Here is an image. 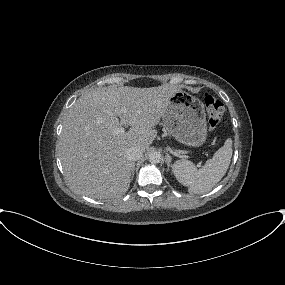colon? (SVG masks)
<instances>
[{
  "label": "colon",
  "mask_w": 285,
  "mask_h": 285,
  "mask_svg": "<svg viewBox=\"0 0 285 285\" xmlns=\"http://www.w3.org/2000/svg\"><path fill=\"white\" fill-rule=\"evenodd\" d=\"M204 106L207 113V124L210 131H214L218 128L222 121L224 112L222 102L210 93H206L203 96Z\"/></svg>",
  "instance_id": "1"
}]
</instances>
